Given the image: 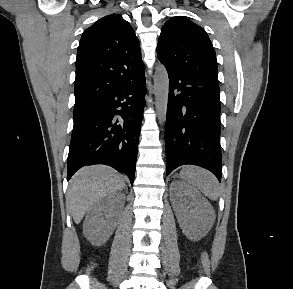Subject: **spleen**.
Masks as SVG:
<instances>
[{
	"mask_svg": "<svg viewBox=\"0 0 293 289\" xmlns=\"http://www.w3.org/2000/svg\"><path fill=\"white\" fill-rule=\"evenodd\" d=\"M180 176L187 183L199 189L210 200L218 199L219 184L211 172L197 166H185L180 171Z\"/></svg>",
	"mask_w": 293,
	"mask_h": 289,
	"instance_id": "3e777b00",
	"label": "spleen"
}]
</instances>
